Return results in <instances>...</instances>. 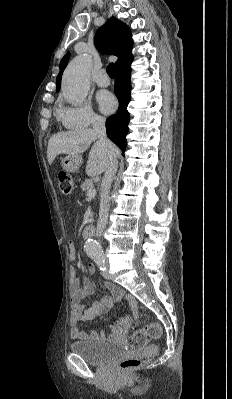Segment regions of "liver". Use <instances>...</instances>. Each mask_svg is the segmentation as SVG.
I'll use <instances>...</instances> for the list:
<instances>
[{
  "label": "liver",
  "mask_w": 232,
  "mask_h": 399,
  "mask_svg": "<svg viewBox=\"0 0 232 399\" xmlns=\"http://www.w3.org/2000/svg\"><path fill=\"white\" fill-rule=\"evenodd\" d=\"M92 142H95V144H93L89 152L86 174L90 176V178L100 176L102 172H105L108 166L109 152H114V154L118 156L119 150L114 144H112V148L105 146V144H100L98 138H96L94 134V130H91V128L69 130V132L54 134L48 142V164L51 166L56 156H59V154H69V156H73V154H83Z\"/></svg>",
  "instance_id": "6515ba94"
}]
</instances>
